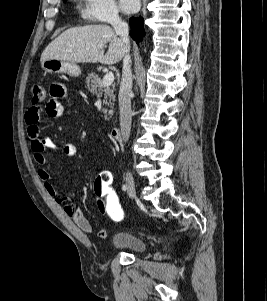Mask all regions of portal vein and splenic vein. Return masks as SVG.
Segmentation results:
<instances>
[{
  "label": "portal vein and splenic vein",
  "instance_id": "portal-vein-and-splenic-vein-1",
  "mask_svg": "<svg viewBox=\"0 0 267 301\" xmlns=\"http://www.w3.org/2000/svg\"><path fill=\"white\" fill-rule=\"evenodd\" d=\"M114 81V74L112 72L106 73L103 81H102V85L103 87H107L110 86Z\"/></svg>",
  "mask_w": 267,
  "mask_h": 301
}]
</instances>
